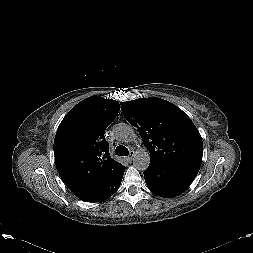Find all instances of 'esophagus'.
<instances>
[{"label":"esophagus","mask_w":253,"mask_h":253,"mask_svg":"<svg viewBox=\"0 0 253 253\" xmlns=\"http://www.w3.org/2000/svg\"><path fill=\"white\" fill-rule=\"evenodd\" d=\"M134 155H135V153H134L133 151L130 152V155L127 157V160H128V161H132L133 158H134Z\"/></svg>","instance_id":"obj_1"}]
</instances>
